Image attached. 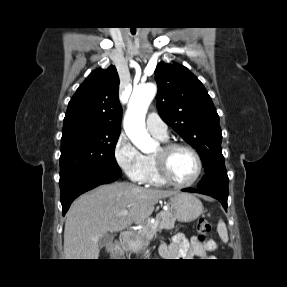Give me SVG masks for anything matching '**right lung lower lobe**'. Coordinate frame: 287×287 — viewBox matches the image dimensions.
<instances>
[{"label": "right lung lower lobe", "mask_w": 287, "mask_h": 287, "mask_svg": "<svg viewBox=\"0 0 287 287\" xmlns=\"http://www.w3.org/2000/svg\"><path fill=\"white\" fill-rule=\"evenodd\" d=\"M118 178L119 176L105 173L80 172L60 179V200L63 208V215H65L70 204L76 197L98 185L114 182Z\"/></svg>", "instance_id": "98d812e1"}]
</instances>
